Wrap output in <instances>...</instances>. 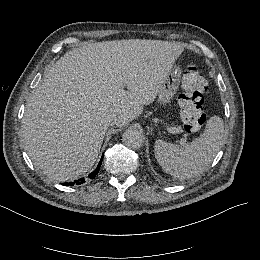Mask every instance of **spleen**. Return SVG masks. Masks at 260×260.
<instances>
[{
    "label": "spleen",
    "instance_id": "spleen-1",
    "mask_svg": "<svg viewBox=\"0 0 260 260\" xmlns=\"http://www.w3.org/2000/svg\"><path fill=\"white\" fill-rule=\"evenodd\" d=\"M223 136L224 121L215 114L207 120L203 134L185 146L156 139L154 155L170 176L176 179L196 177L208 168L219 152Z\"/></svg>",
    "mask_w": 260,
    "mask_h": 260
}]
</instances>
